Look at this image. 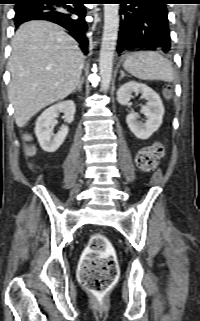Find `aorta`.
<instances>
[{"label":"aorta","instance_id":"obj_1","mask_svg":"<svg viewBox=\"0 0 200 321\" xmlns=\"http://www.w3.org/2000/svg\"><path fill=\"white\" fill-rule=\"evenodd\" d=\"M118 12V4H104V31L99 57L101 88L104 91L109 89L112 78L113 59L119 28Z\"/></svg>","mask_w":200,"mask_h":321}]
</instances>
